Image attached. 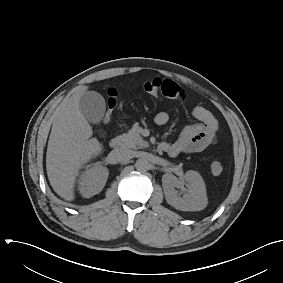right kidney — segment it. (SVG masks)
Wrapping results in <instances>:
<instances>
[{
    "label": "right kidney",
    "instance_id": "obj_1",
    "mask_svg": "<svg viewBox=\"0 0 283 283\" xmlns=\"http://www.w3.org/2000/svg\"><path fill=\"white\" fill-rule=\"evenodd\" d=\"M109 172L104 166L97 165L82 172L79 180V191L83 197L90 198L104 188Z\"/></svg>",
    "mask_w": 283,
    "mask_h": 283
}]
</instances>
